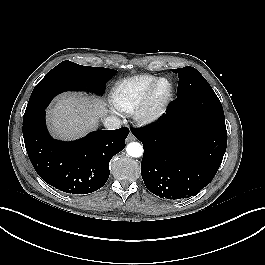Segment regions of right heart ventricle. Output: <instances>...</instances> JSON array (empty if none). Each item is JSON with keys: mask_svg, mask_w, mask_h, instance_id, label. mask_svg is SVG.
<instances>
[{"mask_svg": "<svg viewBox=\"0 0 265 265\" xmlns=\"http://www.w3.org/2000/svg\"><path fill=\"white\" fill-rule=\"evenodd\" d=\"M156 78L155 75L141 74L117 82L110 93L112 108L119 113H133Z\"/></svg>", "mask_w": 265, "mask_h": 265, "instance_id": "right-heart-ventricle-1", "label": "right heart ventricle"}]
</instances>
